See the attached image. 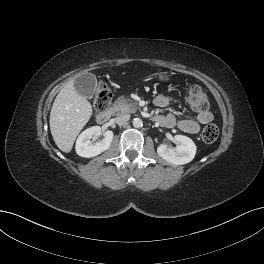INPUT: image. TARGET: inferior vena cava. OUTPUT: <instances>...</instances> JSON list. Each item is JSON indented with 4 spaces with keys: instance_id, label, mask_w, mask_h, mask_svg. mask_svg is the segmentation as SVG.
I'll return each mask as SVG.
<instances>
[{
    "instance_id": "1",
    "label": "inferior vena cava",
    "mask_w": 264,
    "mask_h": 264,
    "mask_svg": "<svg viewBox=\"0 0 264 264\" xmlns=\"http://www.w3.org/2000/svg\"><path fill=\"white\" fill-rule=\"evenodd\" d=\"M129 119H130V115L129 114H123V115H120V116L116 117L114 119V121L118 125H123V124L127 123V121H129Z\"/></svg>"
}]
</instances>
